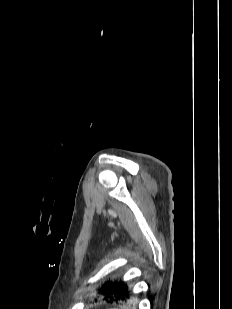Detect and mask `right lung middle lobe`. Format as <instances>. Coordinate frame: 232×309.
<instances>
[{
	"mask_svg": "<svg viewBox=\"0 0 232 309\" xmlns=\"http://www.w3.org/2000/svg\"><path fill=\"white\" fill-rule=\"evenodd\" d=\"M110 285H112V284H110V283L108 282V283H105V285H103V287H108V286H110Z\"/></svg>",
	"mask_w": 232,
	"mask_h": 309,
	"instance_id": "right-lung-middle-lobe-1",
	"label": "right lung middle lobe"
}]
</instances>
